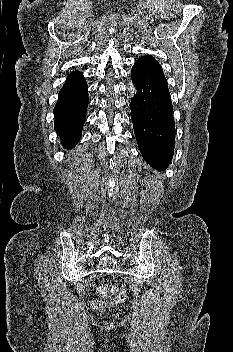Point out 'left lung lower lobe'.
<instances>
[{"instance_id":"0a47b994","label":"left lung lower lobe","mask_w":233,"mask_h":352,"mask_svg":"<svg viewBox=\"0 0 233 352\" xmlns=\"http://www.w3.org/2000/svg\"><path fill=\"white\" fill-rule=\"evenodd\" d=\"M136 95L131 119L142 156L153 168L165 170L173 157L175 123L167 80L141 61L131 71Z\"/></svg>"}]
</instances>
